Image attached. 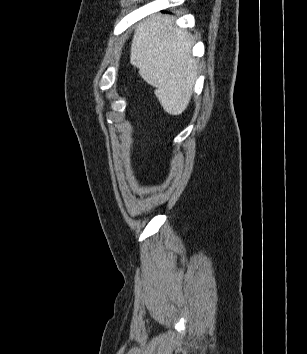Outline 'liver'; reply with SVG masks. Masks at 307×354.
Instances as JSON below:
<instances>
[{
    "instance_id": "obj_1",
    "label": "liver",
    "mask_w": 307,
    "mask_h": 354,
    "mask_svg": "<svg viewBox=\"0 0 307 354\" xmlns=\"http://www.w3.org/2000/svg\"><path fill=\"white\" fill-rule=\"evenodd\" d=\"M167 15H152L137 26L130 63L155 87V95L170 115L187 108L197 78V61L191 56L194 40L186 30L173 25Z\"/></svg>"
}]
</instances>
